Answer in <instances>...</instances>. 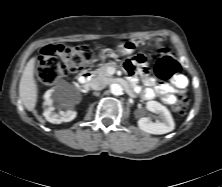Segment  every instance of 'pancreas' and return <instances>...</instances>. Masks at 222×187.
<instances>
[{"instance_id": "obj_1", "label": "pancreas", "mask_w": 222, "mask_h": 187, "mask_svg": "<svg viewBox=\"0 0 222 187\" xmlns=\"http://www.w3.org/2000/svg\"><path fill=\"white\" fill-rule=\"evenodd\" d=\"M114 63H105L100 66L96 71H94V74L101 78H110L111 75L107 72L109 67H114Z\"/></svg>"}]
</instances>
